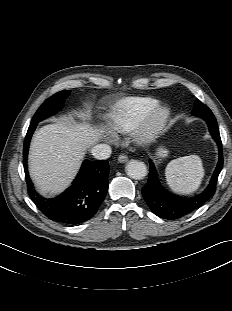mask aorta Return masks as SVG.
<instances>
[{"instance_id":"aorta-1","label":"aorta","mask_w":232,"mask_h":311,"mask_svg":"<svg viewBox=\"0 0 232 311\" xmlns=\"http://www.w3.org/2000/svg\"><path fill=\"white\" fill-rule=\"evenodd\" d=\"M126 172L129 177L140 180L147 175V167L144 162L130 160L126 165Z\"/></svg>"}]
</instances>
